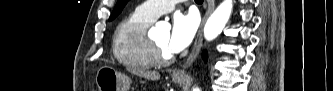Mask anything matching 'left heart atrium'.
Listing matches in <instances>:
<instances>
[{
    "instance_id": "obj_1",
    "label": "left heart atrium",
    "mask_w": 333,
    "mask_h": 91,
    "mask_svg": "<svg viewBox=\"0 0 333 91\" xmlns=\"http://www.w3.org/2000/svg\"><path fill=\"white\" fill-rule=\"evenodd\" d=\"M198 24V17L195 14L176 15L167 42L169 52L179 53L189 46L196 34Z\"/></svg>"
}]
</instances>
